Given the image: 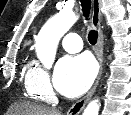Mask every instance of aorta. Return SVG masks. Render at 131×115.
Masks as SVG:
<instances>
[{
	"mask_svg": "<svg viewBox=\"0 0 131 115\" xmlns=\"http://www.w3.org/2000/svg\"><path fill=\"white\" fill-rule=\"evenodd\" d=\"M77 19L78 16L72 11H61L42 27L36 38L35 49L44 68L52 67L60 39ZM99 107V100H92L85 108L83 115H98Z\"/></svg>",
	"mask_w": 131,
	"mask_h": 115,
	"instance_id": "obj_1",
	"label": "aorta"
}]
</instances>
